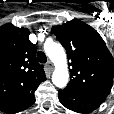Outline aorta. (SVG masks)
Instances as JSON below:
<instances>
[{"instance_id":"obj_1","label":"aorta","mask_w":114,"mask_h":114,"mask_svg":"<svg viewBox=\"0 0 114 114\" xmlns=\"http://www.w3.org/2000/svg\"><path fill=\"white\" fill-rule=\"evenodd\" d=\"M45 52L55 65L52 82L58 88H64L69 79L66 54L63 47L55 42L45 44Z\"/></svg>"}]
</instances>
